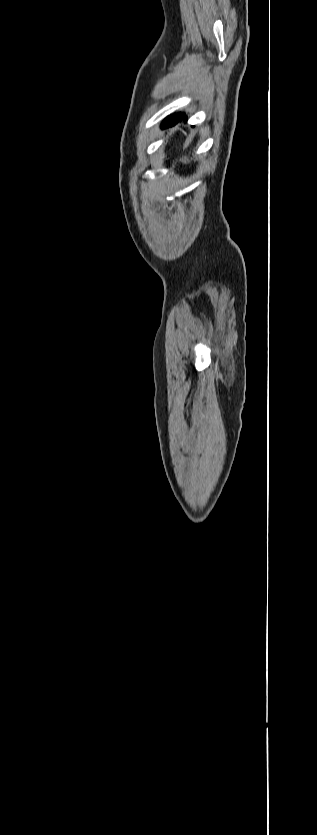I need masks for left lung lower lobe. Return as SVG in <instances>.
I'll return each instance as SVG.
<instances>
[{
  "label": "left lung lower lobe",
  "mask_w": 317,
  "mask_h": 835,
  "mask_svg": "<svg viewBox=\"0 0 317 835\" xmlns=\"http://www.w3.org/2000/svg\"><path fill=\"white\" fill-rule=\"evenodd\" d=\"M182 119H186V120H187V116H186L185 114H183V113H180V114H174V115L168 116V117H167V118L163 121V123H162V125H161V128H162V129H164V128H167V127H172V126H174L176 123H178L179 121H181Z\"/></svg>",
  "instance_id": "1"
}]
</instances>
